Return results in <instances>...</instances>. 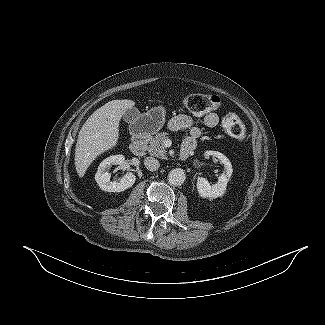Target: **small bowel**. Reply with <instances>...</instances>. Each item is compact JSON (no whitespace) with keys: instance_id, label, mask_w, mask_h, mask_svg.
Here are the masks:
<instances>
[{"instance_id":"1","label":"small bowel","mask_w":325,"mask_h":325,"mask_svg":"<svg viewBox=\"0 0 325 325\" xmlns=\"http://www.w3.org/2000/svg\"><path fill=\"white\" fill-rule=\"evenodd\" d=\"M219 122L218 116L215 113H208L203 118V123L208 128H214ZM169 129L189 130V135L183 142V145H191L195 149L198 138L201 136V130L194 125L193 119L185 114H180L173 117L168 124Z\"/></svg>"}]
</instances>
